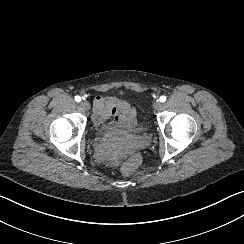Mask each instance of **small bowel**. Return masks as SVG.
Listing matches in <instances>:
<instances>
[{
	"instance_id": "small-bowel-1",
	"label": "small bowel",
	"mask_w": 244,
	"mask_h": 244,
	"mask_svg": "<svg viewBox=\"0 0 244 244\" xmlns=\"http://www.w3.org/2000/svg\"><path fill=\"white\" fill-rule=\"evenodd\" d=\"M94 121L105 129L130 128L135 124L133 107L115 96L97 97L93 106Z\"/></svg>"
}]
</instances>
